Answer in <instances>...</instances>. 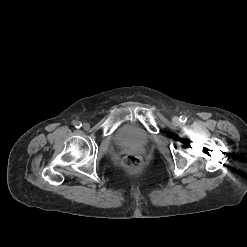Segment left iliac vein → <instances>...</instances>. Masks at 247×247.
<instances>
[{
  "mask_svg": "<svg viewBox=\"0 0 247 247\" xmlns=\"http://www.w3.org/2000/svg\"><path fill=\"white\" fill-rule=\"evenodd\" d=\"M172 121H173V123L176 124V125H178V124L180 123V120H179L178 117H173Z\"/></svg>",
  "mask_w": 247,
  "mask_h": 247,
  "instance_id": "1",
  "label": "left iliac vein"
}]
</instances>
